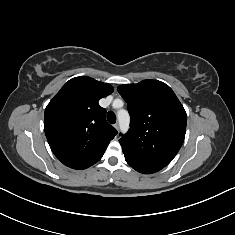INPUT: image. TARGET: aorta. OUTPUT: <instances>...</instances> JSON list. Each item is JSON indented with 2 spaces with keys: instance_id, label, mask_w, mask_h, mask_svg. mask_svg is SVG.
I'll use <instances>...</instances> for the list:
<instances>
[{
  "instance_id": "1",
  "label": "aorta",
  "mask_w": 235,
  "mask_h": 235,
  "mask_svg": "<svg viewBox=\"0 0 235 235\" xmlns=\"http://www.w3.org/2000/svg\"><path fill=\"white\" fill-rule=\"evenodd\" d=\"M117 118L120 124V129L123 133L127 132L129 129L130 116L126 110H119L117 113Z\"/></svg>"
}]
</instances>
